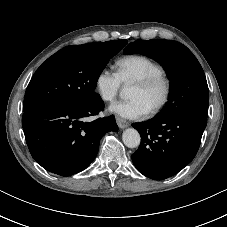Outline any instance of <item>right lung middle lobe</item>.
I'll use <instances>...</instances> for the list:
<instances>
[{
	"mask_svg": "<svg viewBox=\"0 0 227 227\" xmlns=\"http://www.w3.org/2000/svg\"><path fill=\"white\" fill-rule=\"evenodd\" d=\"M124 42H95L59 50L35 72L26 89L23 110L50 103L83 104L100 98L94 92L98 78Z\"/></svg>",
	"mask_w": 227,
	"mask_h": 227,
	"instance_id": "dd1d6c3e",
	"label": "right lung middle lobe"
}]
</instances>
